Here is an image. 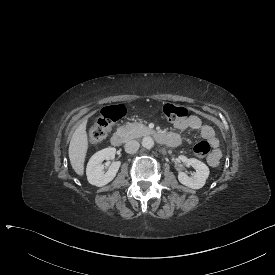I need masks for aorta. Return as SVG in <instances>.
<instances>
[{
  "mask_svg": "<svg viewBox=\"0 0 275 275\" xmlns=\"http://www.w3.org/2000/svg\"><path fill=\"white\" fill-rule=\"evenodd\" d=\"M142 146L146 149H151L154 146V140L151 137H144Z\"/></svg>",
  "mask_w": 275,
  "mask_h": 275,
  "instance_id": "1",
  "label": "aorta"
}]
</instances>
